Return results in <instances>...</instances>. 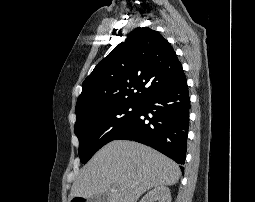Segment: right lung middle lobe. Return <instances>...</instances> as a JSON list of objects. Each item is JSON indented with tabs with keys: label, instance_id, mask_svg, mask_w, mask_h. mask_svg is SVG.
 I'll use <instances>...</instances> for the list:
<instances>
[{
	"label": "right lung middle lobe",
	"instance_id": "obj_1",
	"mask_svg": "<svg viewBox=\"0 0 255 202\" xmlns=\"http://www.w3.org/2000/svg\"><path fill=\"white\" fill-rule=\"evenodd\" d=\"M141 103H120L97 109L76 119L74 132L79 139L83 163L102 146L114 140L135 118Z\"/></svg>",
	"mask_w": 255,
	"mask_h": 202
}]
</instances>
